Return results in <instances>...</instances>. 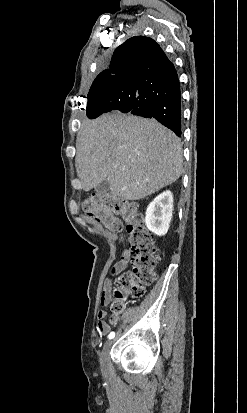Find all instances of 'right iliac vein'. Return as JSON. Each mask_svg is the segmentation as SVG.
<instances>
[{
	"instance_id": "1",
	"label": "right iliac vein",
	"mask_w": 247,
	"mask_h": 413,
	"mask_svg": "<svg viewBox=\"0 0 247 413\" xmlns=\"http://www.w3.org/2000/svg\"><path fill=\"white\" fill-rule=\"evenodd\" d=\"M113 342L112 341H107L104 344V347L99 355L100 358V362H101V366L105 367L106 365V357L108 355V352L110 351L111 347H112Z\"/></svg>"
}]
</instances>
